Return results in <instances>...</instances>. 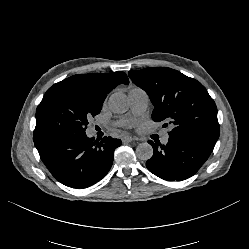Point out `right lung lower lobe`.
<instances>
[{"mask_svg": "<svg viewBox=\"0 0 249 249\" xmlns=\"http://www.w3.org/2000/svg\"><path fill=\"white\" fill-rule=\"evenodd\" d=\"M34 143L41 160L59 182L86 188L109 172L121 140L104 137L99 141L84 132L35 135Z\"/></svg>", "mask_w": 249, "mask_h": 249, "instance_id": "right-lung-lower-lobe-1", "label": "right lung lower lobe"}]
</instances>
